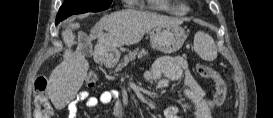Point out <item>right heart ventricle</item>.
<instances>
[{
	"instance_id": "obj_1",
	"label": "right heart ventricle",
	"mask_w": 273,
	"mask_h": 118,
	"mask_svg": "<svg viewBox=\"0 0 273 118\" xmlns=\"http://www.w3.org/2000/svg\"><path fill=\"white\" fill-rule=\"evenodd\" d=\"M156 8L176 15H183L189 11V8L182 3L170 4L169 2H158Z\"/></svg>"
}]
</instances>
